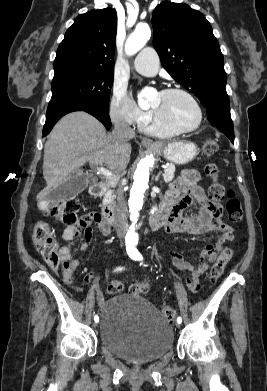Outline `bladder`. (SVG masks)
Instances as JSON below:
<instances>
[{
	"label": "bladder",
	"mask_w": 267,
	"mask_h": 391,
	"mask_svg": "<svg viewBox=\"0 0 267 391\" xmlns=\"http://www.w3.org/2000/svg\"><path fill=\"white\" fill-rule=\"evenodd\" d=\"M102 346L132 363H148L168 353L174 342L171 324L143 296L117 294L100 308Z\"/></svg>",
	"instance_id": "1"
}]
</instances>
